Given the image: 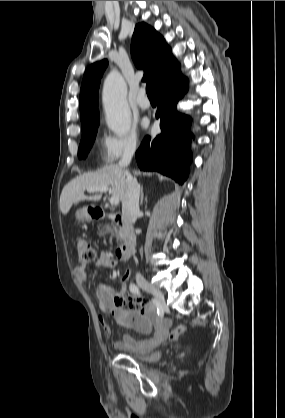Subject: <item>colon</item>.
<instances>
[{
    "mask_svg": "<svg viewBox=\"0 0 285 418\" xmlns=\"http://www.w3.org/2000/svg\"><path fill=\"white\" fill-rule=\"evenodd\" d=\"M75 250L80 264H86L92 261L96 256V249L89 238L86 236H82L76 239ZM186 330L187 326L184 323H179L169 332L167 339L169 341H178Z\"/></svg>",
    "mask_w": 285,
    "mask_h": 418,
    "instance_id": "obj_1",
    "label": "colon"
}]
</instances>
